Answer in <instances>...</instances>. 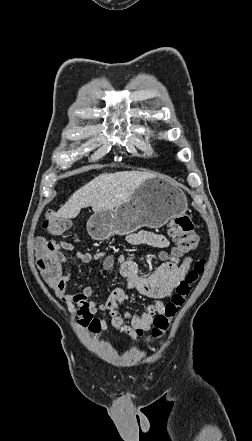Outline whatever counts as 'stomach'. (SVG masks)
<instances>
[{
    "mask_svg": "<svg viewBox=\"0 0 252 441\" xmlns=\"http://www.w3.org/2000/svg\"><path fill=\"white\" fill-rule=\"evenodd\" d=\"M187 207L184 192L170 179L155 175L115 209L95 212L87 222V231L93 239L103 241L143 226L159 228L184 214Z\"/></svg>",
    "mask_w": 252,
    "mask_h": 441,
    "instance_id": "0dacf381",
    "label": "stomach"
}]
</instances>
